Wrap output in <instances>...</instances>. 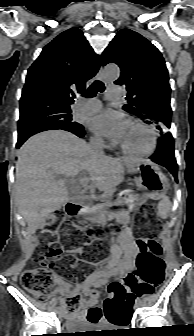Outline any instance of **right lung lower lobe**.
Segmentation results:
<instances>
[{
	"label": "right lung lower lobe",
	"mask_w": 194,
	"mask_h": 336,
	"mask_svg": "<svg viewBox=\"0 0 194 336\" xmlns=\"http://www.w3.org/2000/svg\"><path fill=\"white\" fill-rule=\"evenodd\" d=\"M82 138L85 135L84 129L80 131H69ZM32 136V135H31ZM30 136L18 138L16 147L19 148Z\"/></svg>",
	"instance_id": "98d812e1"
}]
</instances>
